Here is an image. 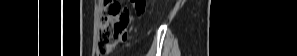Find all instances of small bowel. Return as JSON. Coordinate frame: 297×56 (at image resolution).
Segmentation results:
<instances>
[{"instance_id": "small-bowel-1", "label": "small bowel", "mask_w": 297, "mask_h": 56, "mask_svg": "<svg viewBox=\"0 0 297 56\" xmlns=\"http://www.w3.org/2000/svg\"><path fill=\"white\" fill-rule=\"evenodd\" d=\"M130 38V33H121L119 36V41H121V45H126V41Z\"/></svg>"}]
</instances>
